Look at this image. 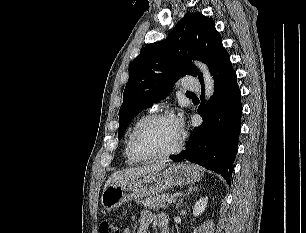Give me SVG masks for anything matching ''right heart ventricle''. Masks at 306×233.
I'll use <instances>...</instances> for the list:
<instances>
[{
    "mask_svg": "<svg viewBox=\"0 0 306 233\" xmlns=\"http://www.w3.org/2000/svg\"><path fill=\"white\" fill-rule=\"evenodd\" d=\"M147 117V115H141L139 116L134 122L133 124L131 125L130 127V130H129V133H128V136H127V139H126V144H125V155H126V158H127V162L129 164H134V163H137L139 162L138 159H136L132 152H131V149H130V138H131V135L133 133V131L135 130V128L140 124V122L142 120H144L145 118Z\"/></svg>",
    "mask_w": 306,
    "mask_h": 233,
    "instance_id": "right-heart-ventricle-1",
    "label": "right heart ventricle"
}]
</instances>
